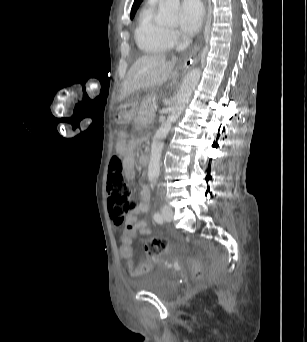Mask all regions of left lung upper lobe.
Here are the masks:
<instances>
[{"label": "left lung upper lobe", "instance_id": "1", "mask_svg": "<svg viewBox=\"0 0 307 342\" xmlns=\"http://www.w3.org/2000/svg\"><path fill=\"white\" fill-rule=\"evenodd\" d=\"M143 0H135L134 1V4H133V6H132V10H131V19H133V17H134V15H135V13H136V11H137V9H138V7H139V5L141 4V2H142Z\"/></svg>", "mask_w": 307, "mask_h": 342}]
</instances>
